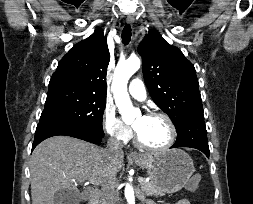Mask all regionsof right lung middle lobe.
Instances as JSON below:
<instances>
[{
    "instance_id": "1",
    "label": "right lung middle lobe",
    "mask_w": 253,
    "mask_h": 204,
    "mask_svg": "<svg viewBox=\"0 0 253 204\" xmlns=\"http://www.w3.org/2000/svg\"><path fill=\"white\" fill-rule=\"evenodd\" d=\"M106 98L70 86H49L40 122L78 126L104 136Z\"/></svg>"
}]
</instances>
